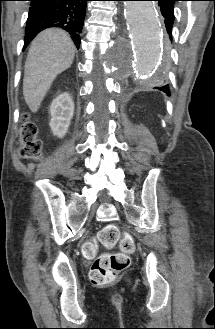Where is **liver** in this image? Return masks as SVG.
I'll return each mask as SVG.
<instances>
[{
  "mask_svg": "<svg viewBox=\"0 0 215 329\" xmlns=\"http://www.w3.org/2000/svg\"><path fill=\"white\" fill-rule=\"evenodd\" d=\"M75 45L69 34L50 28L32 41L25 62L23 95L32 112H37L58 74L73 63Z\"/></svg>",
  "mask_w": 215,
  "mask_h": 329,
  "instance_id": "6515ba94",
  "label": "liver"
}]
</instances>
